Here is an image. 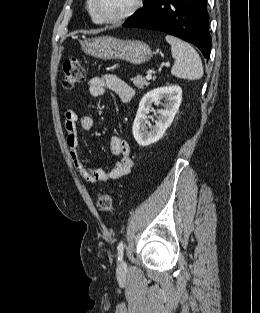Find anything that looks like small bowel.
I'll list each match as a JSON object with an SVG mask.
<instances>
[{
    "instance_id": "small-bowel-1",
    "label": "small bowel",
    "mask_w": 260,
    "mask_h": 313,
    "mask_svg": "<svg viewBox=\"0 0 260 313\" xmlns=\"http://www.w3.org/2000/svg\"><path fill=\"white\" fill-rule=\"evenodd\" d=\"M117 94L122 103L131 101L134 95L133 88L115 75L105 74L94 76L88 82L89 94L101 97L106 90ZM93 126V118L89 114L79 116L73 109L65 112L64 127L67 132L66 144L74 167L78 174L88 183H106L126 177L132 168L131 149L129 143L120 136L112 138L113 153L119 158L118 162L109 170L87 166L79 156L78 127L88 130Z\"/></svg>"
}]
</instances>
